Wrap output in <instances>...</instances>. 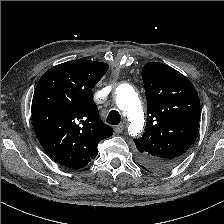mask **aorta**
I'll return each instance as SVG.
<instances>
[{"label":"aorta","mask_w":224,"mask_h":224,"mask_svg":"<svg viewBox=\"0 0 224 224\" xmlns=\"http://www.w3.org/2000/svg\"><path fill=\"white\" fill-rule=\"evenodd\" d=\"M115 101L117 107L125 113L129 121V134L137 136L142 131L144 124V113L137 93L131 85L121 84L116 88Z\"/></svg>","instance_id":"obj_1"}]
</instances>
